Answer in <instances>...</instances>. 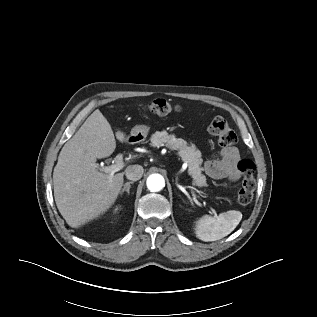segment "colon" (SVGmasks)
<instances>
[{"label":"colon","mask_w":317,"mask_h":317,"mask_svg":"<svg viewBox=\"0 0 317 317\" xmlns=\"http://www.w3.org/2000/svg\"><path fill=\"white\" fill-rule=\"evenodd\" d=\"M148 110L154 115H166L174 112L176 106L165 99H155L149 103ZM209 131L218 138L220 144L224 147L233 146L237 142V135L221 116L212 119ZM237 167L242 175V186L237 193V202L244 206L251 203L254 197L256 188L255 165L250 159H242L238 162Z\"/></svg>","instance_id":"colon-1"}]
</instances>
